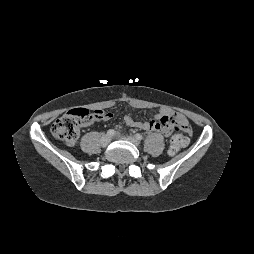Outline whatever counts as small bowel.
<instances>
[{"instance_id": "small-bowel-1", "label": "small bowel", "mask_w": 254, "mask_h": 254, "mask_svg": "<svg viewBox=\"0 0 254 254\" xmlns=\"http://www.w3.org/2000/svg\"><path fill=\"white\" fill-rule=\"evenodd\" d=\"M99 116L93 120L86 121L84 125H89L94 121H106L113 117V114L98 111ZM175 118L185 120L180 114L172 111L169 107L163 106L152 120H136L129 115L124 116L125 124L129 127L143 129L151 132H159L166 136L171 133V123Z\"/></svg>"}]
</instances>
